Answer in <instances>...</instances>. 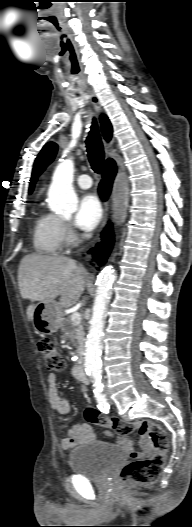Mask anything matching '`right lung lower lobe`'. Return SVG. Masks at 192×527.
Here are the masks:
<instances>
[{
    "mask_svg": "<svg viewBox=\"0 0 192 527\" xmlns=\"http://www.w3.org/2000/svg\"><path fill=\"white\" fill-rule=\"evenodd\" d=\"M116 174V166L114 161L106 162L105 167L103 168L102 173V181L99 185V193L103 199H107V197L110 194L113 179ZM113 229L112 225L108 224V226L104 229L102 233V241L97 244L95 248H93L90 252L94 253V258L99 260L100 264H104L107 260V256L109 255L112 246H113Z\"/></svg>",
    "mask_w": 192,
    "mask_h": 527,
    "instance_id": "obj_1",
    "label": "right lung lower lobe"
}]
</instances>
